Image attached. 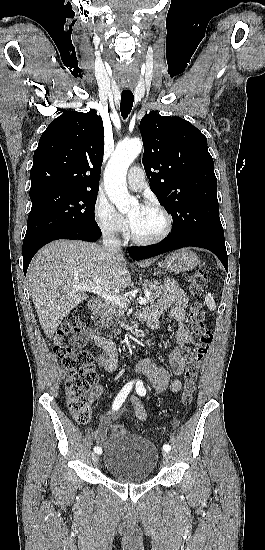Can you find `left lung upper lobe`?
Wrapping results in <instances>:
<instances>
[{"instance_id":"1","label":"left lung upper lobe","mask_w":265,"mask_h":550,"mask_svg":"<svg viewBox=\"0 0 265 550\" xmlns=\"http://www.w3.org/2000/svg\"><path fill=\"white\" fill-rule=\"evenodd\" d=\"M140 133L150 188L173 218L169 237L201 234L224 241L206 137L190 122L154 111L142 118Z\"/></svg>"}]
</instances>
